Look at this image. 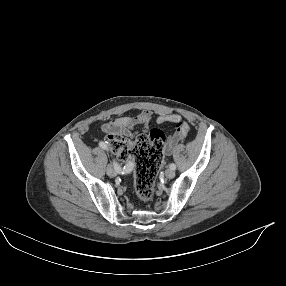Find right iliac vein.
I'll list each match as a JSON object with an SVG mask.
<instances>
[{
    "mask_svg": "<svg viewBox=\"0 0 286 286\" xmlns=\"http://www.w3.org/2000/svg\"><path fill=\"white\" fill-rule=\"evenodd\" d=\"M106 172L110 177H114L116 175V169L112 165H108Z\"/></svg>",
    "mask_w": 286,
    "mask_h": 286,
    "instance_id": "1",
    "label": "right iliac vein"
}]
</instances>
